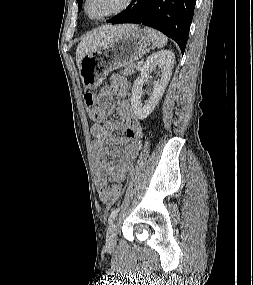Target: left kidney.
Masks as SVG:
<instances>
[{
    "instance_id": "left-kidney-1",
    "label": "left kidney",
    "mask_w": 253,
    "mask_h": 285,
    "mask_svg": "<svg viewBox=\"0 0 253 285\" xmlns=\"http://www.w3.org/2000/svg\"><path fill=\"white\" fill-rule=\"evenodd\" d=\"M174 61V53L168 50H162L154 53L145 61V64L141 68L140 75L134 81L132 87L131 105L134 114L138 119L143 120L147 118L163 96L171 78ZM156 66L162 70V73L160 75V79L154 83L152 95L143 105L141 102L143 94L142 87L144 82L148 80L150 72Z\"/></svg>"
}]
</instances>
